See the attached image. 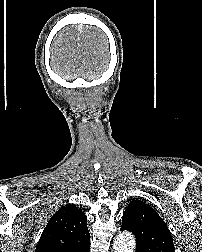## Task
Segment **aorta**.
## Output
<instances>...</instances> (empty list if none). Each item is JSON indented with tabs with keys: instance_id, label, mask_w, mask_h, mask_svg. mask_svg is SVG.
Masks as SVG:
<instances>
[{
	"instance_id": "obj_1",
	"label": "aorta",
	"mask_w": 202,
	"mask_h": 252,
	"mask_svg": "<svg viewBox=\"0 0 202 252\" xmlns=\"http://www.w3.org/2000/svg\"><path fill=\"white\" fill-rule=\"evenodd\" d=\"M135 245L136 242L132 233L124 231L115 238L113 248L115 252H134Z\"/></svg>"
}]
</instances>
